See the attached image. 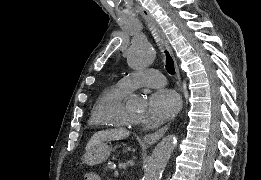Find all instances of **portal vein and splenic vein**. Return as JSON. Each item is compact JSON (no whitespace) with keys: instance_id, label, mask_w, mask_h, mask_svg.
Returning <instances> with one entry per match:
<instances>
[{"instance_id":"18ae733b","label":"portal vein and splenic vein","mask_w":261,"mask_h":180,"mask_svg":"<svg viewBox=\"0 0 261 180\" xmlns=\"http://www.w3.org/2000/svg\"><path fill=\"white\" fill-rule=\"evenodd\" d=\"M114 176L115 177H120L121 173L119 172V170H114Z\"/></svg>"}]
</instances>
